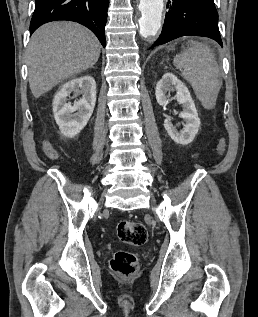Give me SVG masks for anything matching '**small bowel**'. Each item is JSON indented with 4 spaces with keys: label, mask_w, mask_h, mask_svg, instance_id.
I'll use <instances>...</instances> for the list:
<instances>
[{
    "label": "small bowel",
    "mask_w": 258,
    "mask_h": 317,
    "mask_svg": "<svg viewBox=\"0 0 258 317\" xmlns=\"http://www.w3.org/2000/svg\"><path fill=\"white\" fill-rule=\"evenodd\" d=\"M42 150L45 153V155L51 159L56 158L57 153L52 144L48 141H44L42 143Z\"/></svg>",
    "instance_id": "small-bowel-1"
}]
</instances>
